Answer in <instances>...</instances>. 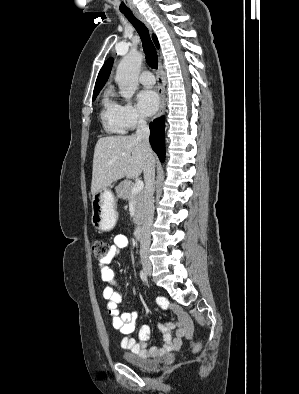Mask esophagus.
I'll return each instance as SVG.
<instances>
[{"instance_id": "esophagus-1", "label": "esophagus", "mask_w": 299, "mask_h": 394, "mask_svg": "<svg viewBox=\"0 0 299 394\" xmlns=\"http://www.w3.org/2000/svg\"><path fill=\"white\" fill-rule=\"evenodd\" d=\"M137 15H138L139 19H140L148 28H150V26H149V24L147 23V21H146L141 15H139V14H137ZM159 67L161 68V62L159 63ZM159 94H160V107H159V110H158V113H157V117H159V116H161V115L163 114V112H164V110H165V102H166L165 94H164V91H163L162 87H160V89H159Z\"/></svg>"}]
</instances>
